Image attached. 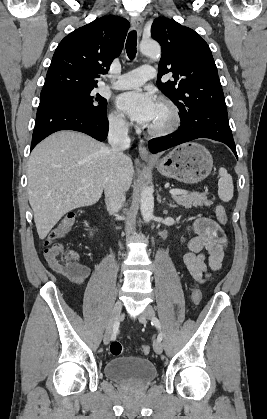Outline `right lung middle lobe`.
<instances>
[{"instance_id":"obj_1","label":"right lung middle lobe","mask_w":267,"mask_h":419,"mask_svg":"<svg viewBox=\"0 0 267 419\" xmlns=\"http://www.w3.org/2000/svg\"><path fill=\"white\" fill-rule=\"evenodd\" d=\"M93 89L70 86L41 93V98L47 97L64 102L90 116H102L106 113L107 100L95 94Z\"/></svg>"}]
</instances>
